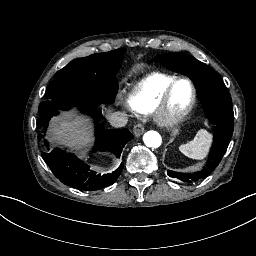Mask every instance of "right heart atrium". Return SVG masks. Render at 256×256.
<instances>
[{
  "label": "right heart atrium",
  "instance_id": "obj_1",
  "mask_svg": "<svg viewBox=\"0 0 256 256\" xmlns=\"http://www.w3.org/2000/svg\"><path fill=\"white\" fill-rule=\"evenodd\" d=\"M121 99H122V103L124 105V110L132 111V109H131V100H132V98L129 97V96H126V97L121 96Z\"/></svg>",
  "mask_w": 256,
  "mask_h": 256
}]
</instances>
